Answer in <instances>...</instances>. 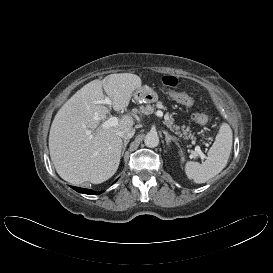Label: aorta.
<instances>
[{
  "label": "aorta",
  "mask_w": 273,
  "mask_h": 273,
  "mask_svg": "<svg viewBox=\"0 0 273 273\" xmlns=\"http://www.w3.org/2000/svg\"><path fill=\"white\" fill-rule=\"evenodd\" d=\"M144 143L147 147L154 148L159 144V136L157 133L149 132L144 138Z\"/></svg>",
  "instance_id": "762f6f07"
}]
</instances>
